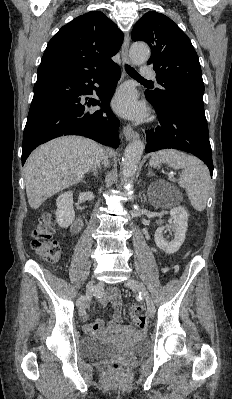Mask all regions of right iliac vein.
I'll return each mask as SVG.
<instances>
[{"mask_svg":"<svg viewBox=\"0 0 232 399\" xmlns=\"http://www.w3.org/2000/svg\"><path fill=\"white\" fill-rule=\"evenodd\" d=\"M92 286H93V283L89 282L87 287H86L85 296H91V294H92V291H91ZM87 309H88L87 303L83 302L81 308H78V315L79 316H84L85 315V310H87Z\"/></svg>","mask_w":232,"mask_h":399,"instance_id":"1","label":"right iliac vein"}]
</instances>
